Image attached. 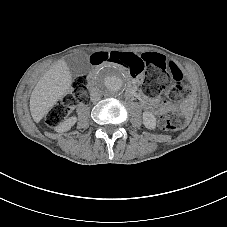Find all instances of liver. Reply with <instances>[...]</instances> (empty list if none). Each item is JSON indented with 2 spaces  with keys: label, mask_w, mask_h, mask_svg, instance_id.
<instances>
[{
  "label": "liver",
  "mask_w": 227,
  "mask_h": 227,
  "mask_svg": "<svg viewBox=\"0 0 227 227\" xmlns=\"http://www.w3.org/2000/svg\"><path fill=\"white\" fill-rule=\"evenodd\" d=\"M72 75L65 60H58L45 72L30 96V112L34 122L39 123L49 110L67 94Z\"/></svg>",
  "instance_id": "6515ba94"
}]
</instances>
